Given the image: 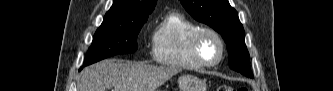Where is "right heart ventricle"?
Instances as JSON below:
<instances>
[{
	"label": "right heart ventricle",
	"instance_id": "obj_1",
	"mask_svg": "<svg viewBox=\"0 0 333 91\" xmlns=\"http://www.w3.org/2000/svg\"><path fill=\"white\" fill-rule=\"evenodd\" d=\"M198 28L181 14L166 15L153 35L152 55L155 62L178 70L200 69L190 46L191 36Z\"/></svg>",
	"mask_w": 333,
	"mask_h": 91
}]
</instances>
